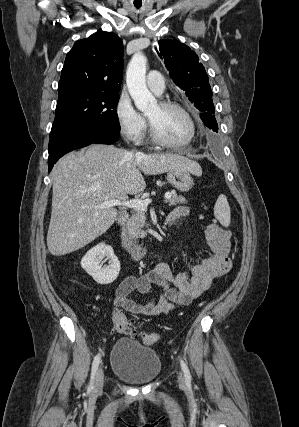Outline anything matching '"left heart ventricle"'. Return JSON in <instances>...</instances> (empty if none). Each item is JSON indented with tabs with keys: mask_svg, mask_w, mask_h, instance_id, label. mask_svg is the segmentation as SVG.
<instances>
[{
	"mask_svg": "<svg viewBox=\"0 0 299 427\" xmlns=\"http://www.w3.org/2000/svg\"><path fill=\"white\" fill-rule=\"evenodd\" d=\"M147 117L157 133L168 141L181 142L189 136V123L176 109L162 108L156 104L147 112Z\"/></svg>",
	"mask_w": 299,
	"mask_h": 427,
	"instance_id": "b2bd125f",
	"label": "left heart ventricle"
}]
</instances>
